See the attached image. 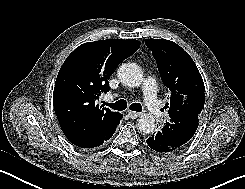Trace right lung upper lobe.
Here are the masks:
<instances>
[{
  "label": "right lung upper lobe",
  "instance_id": "cb5924a9",
  "mask_svg": "<svg viewBox=\"0 0 245 189\" xmlns=\"http://www.w3.org/2000/svg\"><path fill=\"white\" fill-rule=\"evenodd\" d=\"M140 45L134 39L88 42L66 58L55 82L53 105L71 143L78 147L88 145L115 132L122 114L99 106L96 100L109 91L108 80L117 66Z\"/></svg>",
  "mask_w": 245,
  "mask_h": 189
}]
</instances>
